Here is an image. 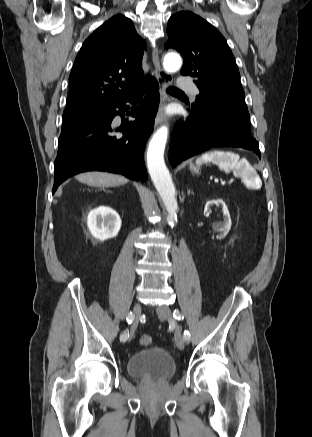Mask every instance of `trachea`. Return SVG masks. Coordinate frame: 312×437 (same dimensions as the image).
Listing matches in <instances>:
<instances>
[{
  "label": "trachea",
  "instance_id": "trachea-1",
  "mask_svg": "<svg viewBox=\"0 0 312 437\" xmlns=\"http://www.w3.org/2000/svg\"><path fill=\"white\" fill-rule=\"evenodd\" d=\"M167 92H169V93H183L181 90H179L175 87H168Z\"/></svg>",
  "mask_w": 312,
  "mask_h": 437
}]
</instances>
